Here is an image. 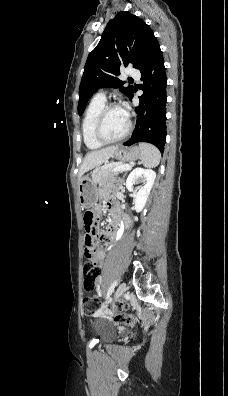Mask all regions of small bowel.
Returning <instances> with one entry per match:
<instances>
[{"label":"small bowel","instance_id":"small-bowel-1","mask_svg":"<svg viewBox=\"0 0 228 396\" xmlns=\"http://www.w3.org/2000/svg\"><path fill=\"white\" fill-rule=\"evenodd\" d=\"M107 190H108V187H105L104 191H107ZM107 207H108V211H109V215H110V220L113 221L115 218V215H116V208H115L113 199L110 197L107 200ZM92 211L95 214H100L101 209L99 206H97ZM98 235L101 239H104L105 241L110 242L113 240V232L110 229H108L104 232L99 231ZM104 258H105V252L101 249L95 248L94 252H93V259L96 262V264L101 266L104 261ZM96 286H97V290L99 291L102 286V277L100 275L96 281Z\"/></svg>","mask_w":228,"mask_h":396}]
</instances>
